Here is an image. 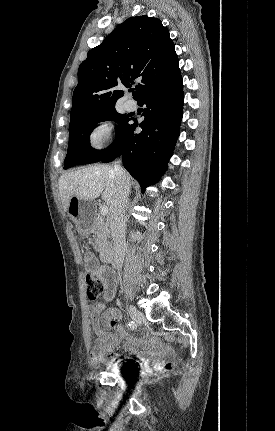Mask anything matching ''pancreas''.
<instances>
[{
	"label": "pancreas",
	"mask_w": 275,
	"mask_h": 431,
	"mask_svg": "<svg viewBox=\"0 0 275 431\" xmlns=\"http://www.w3.org/2000/svg\"><path fill=\"white\" fill-rule=\"evenodd\" d=\"M93 233L94 249L100 251L107 245L108 238L107 226L100 215L95 217Z\"/></svg>",
	"instance_id": "obj_1"
}]
</instances>
